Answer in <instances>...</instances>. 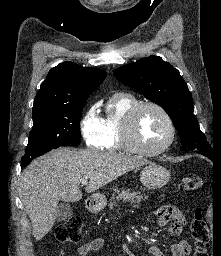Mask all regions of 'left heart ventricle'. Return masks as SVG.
<instances>
[{"label":"left heart ventricle","instance_id":"left-heart-ventricle-1","mask_svg":"<svg viewBox=\"0 0 221 256\" xmlns=\"http://www.w3.org/2000/svg\"><path fill=\"white\" fill-rule=\"evenodd\" d=\"M169 129L163 115L151 107L144 108L137 119V136L148 148L161 146L168 138Z\"/></svg>","mask_w":221,"mask_h":256}]
</instances>
